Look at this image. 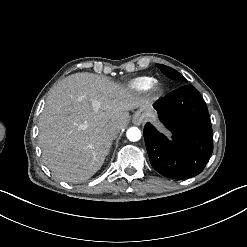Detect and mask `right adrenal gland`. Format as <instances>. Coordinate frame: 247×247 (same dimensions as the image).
<instances>
[{
	"instance_id": "right-adrenal-gland-1",
	"label": "right adrenal gland",
	"mask_w": 247,
	"mask_h": 247,
	"mask_svg": "<svg viewBox=\"0 0 247 247\" xmlns=\"http://www.w3.org/2000/svg\"><path fill=\"white\" fill-rule=\"evenodd\" d=\"M109 149H110V147H109ZM109 149H108V151L106 152V155H108Z\"/></svg>"
}]
</instances>
